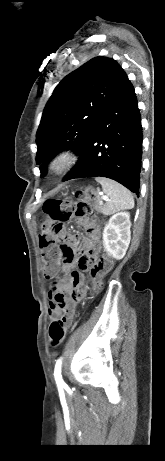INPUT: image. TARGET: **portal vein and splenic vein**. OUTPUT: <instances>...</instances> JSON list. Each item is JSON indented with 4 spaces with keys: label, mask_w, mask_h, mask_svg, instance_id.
Masks as SVG:
<instances>
[{
    "label": "portal vein and splenic vein",
    "mask_w": 165,
    "mask_h": 461,
    "mask_svg": "<svg viewBox=\"0 0 165 461\" xmlns=\"http://www.w3.org/2000/svg\"><path fill=\"white\" fill-rule=\"evenodd\" d=\"M103 200H104V201H108V198H107V197H103L101 200H99V204H100V205L103 204Z\"/></svg>",
    "instance_id": "portal-vein-and-splenic-vein-1"
}]
</instances>
